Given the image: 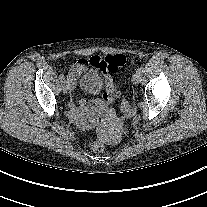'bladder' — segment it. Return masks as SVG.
I'll use <instances>...</instances> for the list:
<instances>
[{
	"instance_id": "1",
	"label": "bladder",
	"mask_w": 207,
	"mask_h": 207,
	"mask_svg": "<svg viewBox=\"0 0 207 207\" xmlns=\"http://www.w3.org/2000/svg\"><path fill=\"white\" fill-rule=\"evenodd\" d=\"M82 91L90 94H96L102 87V76L96 69H90L85 72L79 82Z\"/></svg>"
}]
</instances>
